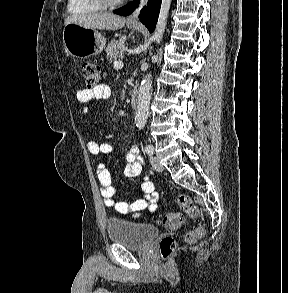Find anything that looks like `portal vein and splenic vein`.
<instances>
[{"label":"portal vein and splenic vein","instance_id":"1","mask_svg":"<svg viewBox=\"0 0 288 293\" xmlns=\"http://www.w3.org/2000/svg\"><path fill=\"white\" fill-rule=\"evenodd\" d=\"M123 67V62L122 61H115L114 62V68L115 69H120Z\"/></svg>","mask_w":288,"mask_h":293}]
</instances>
